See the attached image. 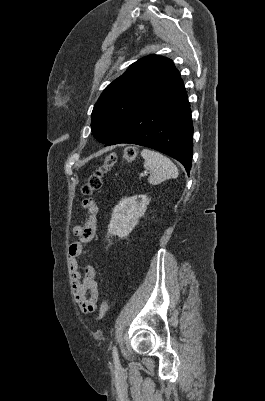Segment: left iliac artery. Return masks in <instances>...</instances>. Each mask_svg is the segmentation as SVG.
I'll list each match as a JSON object with an SVG mask.
<instances>
[{"label": "left iliac artery", "instance_id": "left-iliac-artery-1", "mask_svg": "<svg viewBox=\"0 0 265 401\" xmlns=\"http://www.w3.org/2000/svg\"><path fill=\"white\" fill-rule=\"evenodd\" d=\"M112 356H113L115 368H117V369L120 368L121 365H120L118 351H117L116 346H113Z\"/></svg>", "mask_w": 265, "mask_h": 401}]
</instances>
